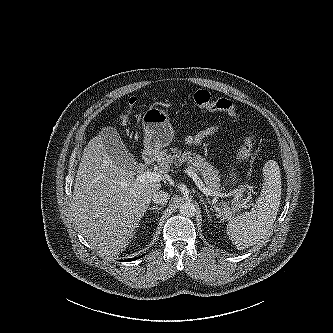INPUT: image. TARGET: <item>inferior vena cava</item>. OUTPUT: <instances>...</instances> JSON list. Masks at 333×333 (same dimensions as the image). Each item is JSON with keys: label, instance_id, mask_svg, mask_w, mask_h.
Here are the masks:
<instances>
[{"label": "inferior vena cava", "instance_id": "inferior-vena-cava-1", "mask_svg": "<svg viewBox=\"0 0 333 333\" xmlns=\"http://www.w3.org/2000/svg\"><path fill=\"white\" fill-rule=\"evenodd\" d=\"M170 195L164 191H155L152 194V201L156 204L164 205L168 202Z\"/></svg>", "mask_w": 333, "mask_h": 333}]
</instances>
